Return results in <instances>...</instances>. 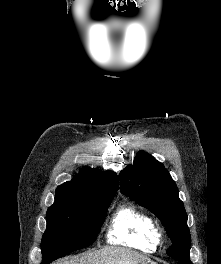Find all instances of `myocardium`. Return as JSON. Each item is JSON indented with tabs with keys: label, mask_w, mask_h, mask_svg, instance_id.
<instances>
[{
	"label": "myocardium",
	"mask_w": 221,
	"mask_h": 264,
	"mask_svg": "<svg viewBox=\"0 0 221 264\" xmlns=\"http://www.w3.org/2000/svg\"><path fill=\"white\" fill-rule=\"evenodd\" d=\"M155 233L159 241L164 237V231L160 227H155Z\"/></svg>",
	"instance_id": "obj_1"
}]
</instances>
